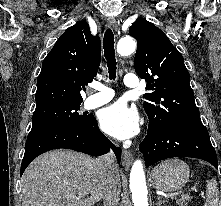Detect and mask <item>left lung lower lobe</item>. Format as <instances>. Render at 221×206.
Wrapping results in <instances>:
<instances>
[{"label": "left lung lower lobe", "mask_w": 221, "mask_h": 206, "mask_svg": "<svg viewBox=\"0 0 221 206\" xmlns=\"http://www.w3.org/2000/svg\"><path fill=\"white\" fill-rule=\"evenodd\" d=\"M147 133L139 145L146 166L171 157H193L208 161L218 169L216 152L204 126Z\"/></svg>", "instance_id": "1"}]
</instances>
